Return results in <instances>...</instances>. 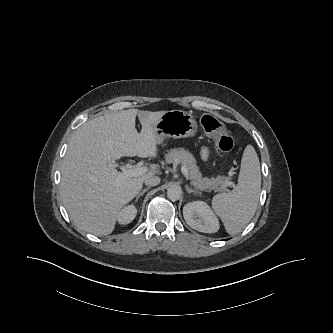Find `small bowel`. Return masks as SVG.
Masks as SVG:
<instances>
[{
	"label": "small bowel",
	"instance_id": "1",
	"mask_svg": "<svg viewBox=\"0 0 333 333\" xmlns=\"http://www.w3.org/2000/svg\"><path fill=\"white\" fill-rule=\"evenodd\" d=\"M201 156H202L203 159L207 158V156H208V149L206 147H203L201 149Z\"/></svg>",
	"mask_w": 333,
	"mask_h": 333
}]
</instances>
